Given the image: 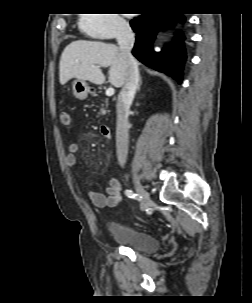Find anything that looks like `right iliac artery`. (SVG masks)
Segmentation results:
<instances>
[{"label": "right iliac artery", "instance_id": "obj_1", "mask_svg": "<svg viewBox=\"0 0 252 303\" xmlns=\"http://www.w3.org/2000/svg\"><path fill=\"white\" fill-rule=\"evenodd\" d=\"M125 194H126L127 197L132 198V199L140 200V198H141L137 194L133 193L131 190H126Z\"/></svg>", "mask_w": 252, "mask_h": 303}]
</instances>
